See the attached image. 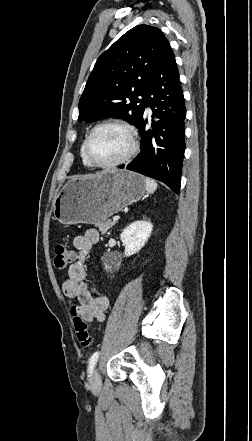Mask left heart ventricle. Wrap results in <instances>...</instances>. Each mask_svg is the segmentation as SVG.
I'll return each mask as SVG.
<instances>
[{"label":"left heart ventricle","mask_w":252,"mask_h":441,"mask_svg":"<svg viewBox=\"0 0 252 441\" xmlns=\"http://www.w3.org/2000/svg\"><path fill=\"white\" fill-rule=\"evenodd\" d=\"M126 132L118 127L107 126L95 132L89 142V155L98 163H111L122 158L129 150Z\"/></svg>","instance_id":"b2bd125f"}]
</instances>
